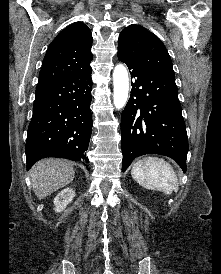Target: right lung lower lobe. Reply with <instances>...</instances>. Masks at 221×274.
<instances>
[{
	"label": "right lung lower lobe",
	"mask_w": 221,
	"mask_h": 274,
	"mask_svg": "<svg viewBox=\"0 0 221 274\" xmlns=\"http://www.w3.org/2000/svg\"><path fill=\"white\" fill-rule=\"evenodd\" d=\"M91 74L92 69L36 89L25 149L27 170L46 157L81 161L88 167Z\"/></svg>",
	"instance_id": "1"
}]
</instances>
